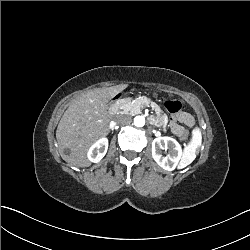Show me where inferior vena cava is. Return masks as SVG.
<instances>
[{
  "label": "inferior vena cava",
  "instance_id": "obj_1",
  "mask_svg": "<svg viewBox=\"0 0 250 250\" xmlns=\"http://www.w3.org/2000/svg\"><path fill=\"white\" fill-rule=\"evenodd\" d=\"M118 123L122 125H129L132 122V117L130 115H118Z\"/></svg>",
  "mask_w": 250,
  "mask_h": 250
}]
</instances>
